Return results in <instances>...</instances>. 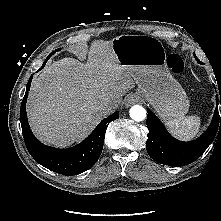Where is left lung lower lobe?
Listing matches in <instances>:
<instances>
[{
    "label": "left lung lower lobe",
    "mask_w": 221,
    "mask_h": 221,
    "mask_svg": "<svg viewBox=\"0 0 221 221\" xmlns=\"http://www.w3.org/2000/svg\"><path fill=\"white\" fill-rule=\"evenodd\" d=\"M219 95L221 104L220 90ZM216 102L218 106V97ZM147 127L149 133L146 148L149 156L165 165L184 166L198 159L212 143L216 132L218 130L221 132V117H219L217 107L207 131L198 139L190 142H182L173 138L150 109H148Z\"/></svg>",
    "instance_id": "0a47b994"
}]
</instances>
